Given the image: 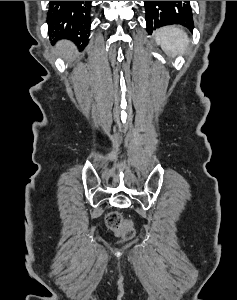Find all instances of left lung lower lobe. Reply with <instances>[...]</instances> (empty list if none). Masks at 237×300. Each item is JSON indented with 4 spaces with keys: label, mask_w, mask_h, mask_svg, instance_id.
<instances>
[{
    "label": "left lung lower lobe",
    "mask_w": 237,
    "mask_h": 300,
    "mask_svg": "<svg viewBox=\"0 0 237 300\" xmlns=\"http://www.w3.org/2000/svg\"><path fill=\"white\" fill-rule=\"evenodd\" d=\"M184 2L186 5L190 6V3L189 1H182ZM159 1H145V6H148V5H155V4H158Z\"/></svg>",
    "instance_id": "obj_1"
}]
</instances>
